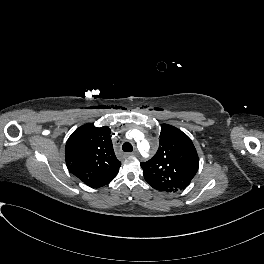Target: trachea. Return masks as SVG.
I'll list each match as a JSON object with an SVG mask.
<instances>
[{
    "label": "trachea",
    "mask_w": 264,
    "mask_h": 264,
    "mask_svg": "<svg viewBox=\"0 0 264 264\" xmlns=\"http://www.w3.org/2000/svg\"><path fill=\"white\" fill-rule=\"evenodd\" d=\"M122 150L124 152H132L133 151V146L131 145V143L129 142H125L123 145H122Z\"/></svg>",
    "instance_id": "1"
}]
</instances>
